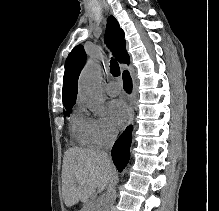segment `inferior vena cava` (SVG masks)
<instances>
[{
    "instance_id": "inferior-vena-cava-1",
    "label": "inferior vena cava",
    "mask_w": 219,
    "mask_h": 211,
    "mask_svg": "<svg viewBox=\"0 0 219 211\" xmlns=\"http://www.w3.org/2000/svg\"><path fill=\"white\" fill-rule=\"evenodd\" d=\"M116 135H117V133H114V135H110V143H109L108 147H106L105 151H101V153H105V155H107L106 151H108V149H111V147L116 139Z\"/></svg>"
}]
</instances>
